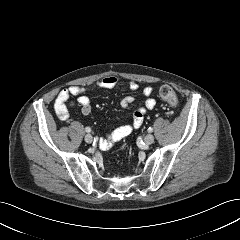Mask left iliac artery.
I'll return each instance as SVG.
<instances>
[{"mask_svg":"<svg viewBox=\"0 0 240 240\" xmlns=\"http://www.w3.org/2000/svg\"><path fill=\"white\" fill-rule=\"evenodd\" d=\"M148 132H149V133H152V132H153V128L149 127V128H148Z\"/></svg>","mask_w":240,"mask_h":240,"instance_id":"44dca946","label":"left iliac artery"}]
</instances>
